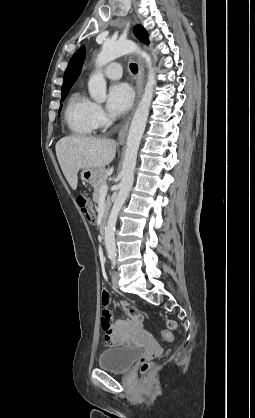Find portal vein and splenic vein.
Instances as JSON below:
<instances>
[{
	"mask_svg": "<svg viewBox=\"0 0 255 418\" xmlns=\"http://www.w3.org/2000/svg\"><path fill=\"white\" fill-rule=\"evenodd\" d=\"M107 191H108V186L105 184V185H103V186L101 187V189H100V194H102V195H106V194H107Z\"/></svg>",
	"mask_w": 255,
	"mask_h": 418,
	"instance_id": "portal-vein-and-splenic-vein-1",
	"label": "portal vein and splenic vein"
}]
</instances>
